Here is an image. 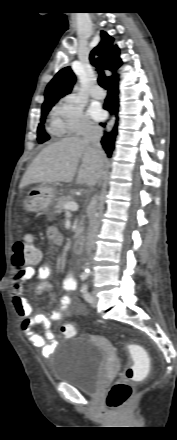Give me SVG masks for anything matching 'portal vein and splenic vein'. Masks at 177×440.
I'll use <instances>...</instances> for the list:
<instances>
[{"label": "portal vein and splenic vein", "mask_w": 177, "mask_h": 440, "mask_svg": "<svg viewBox=\"0 0 177 440\" xmlns=\"http://www.w3.org/2000/svg\"><path fill=\"white\" fill-rule=\"evenodd\" d=\"M64 209L68 211H77L78 210V204L76 202H69L64 205Z\"/></svg>", "instance_id": "obj_1"}]
</instances>
